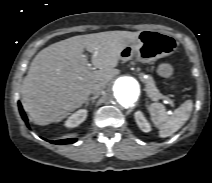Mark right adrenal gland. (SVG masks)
Instances as JSON below:
<instances>
[{
  "label": "right adrenal gland",
  "mask_w": 212,
  "mask_h": 183,
  "mask_svg": "<svg viewBox=\"0 0 212 183\" xmlns=\"http://www.w3.org/2000/svg\"><path fill=\"white\" fill-rule=\"evenodd\" d=\"M98 98V95L92 96L90 98H88L85 102V107H87L89 105V102L91 101L92 105L95 103V100Z\"/></svg>",
  "instance_id": "1"
}]
</instances>
